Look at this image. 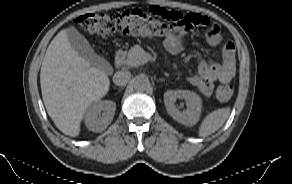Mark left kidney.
Instances as JSON below:
<instances>
[{
    "mask_svg": "<svg viewBox=\"0 0 292 184\" xmlns=\"http://www.w3.org/2000/svg\"><path fill=\"white\" fill-rule=\"evenodd\" d=\"M178 98L184 99L187 109L183 112L175 106ZM164 103L168 114L177 122L193 126L199 120L202 101L199 95L189 90H168L164 93Z\"/></svg>",
    "mask_w": 292,
    "mask_h": 184,
    "instance_id": "left-kidney-1",
    "label": "left kidney"
}]
</instances>
